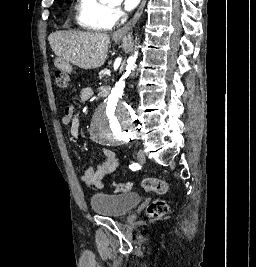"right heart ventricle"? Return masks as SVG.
<instances>
[{"instance_id": "e07e8e85", "label": "right heart ventricle", "mask_w": 256, "mask_h": 267, "mask_svg": "<svg viewBox=\"0 0 256 267\" xmlns=\"http://www.w3.org/2000/svg\"><path fill=\"white\" fill-rule=\"evenodd\" d=\"M112 5V0H81L79 7H84L88 12L87 19L81 23L82 27L97 28V31H100L99 23L109 14Z\"/></svg>"}]
</instances>
